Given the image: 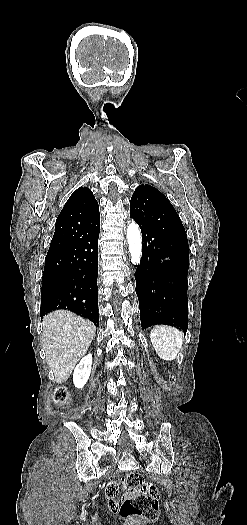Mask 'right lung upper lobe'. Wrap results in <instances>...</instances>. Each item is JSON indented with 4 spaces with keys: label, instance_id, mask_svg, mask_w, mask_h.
Wrapping results in <instances>:
<instances>
[{
    "label": "right lung upper lobe",
    "instance_id": "right-lung-upper-lobe-1",
    "mask_svg": "<svg viewBox=\"0 0 247 525\" xmlns=\"http://www.w3.org/2000/svg\"><path fill=\"white\" fill-rule=\"evenodd\" d=\"M99 228L98 202L90 189L81 187L73 192L56 220L48 254L62 251Z\"/></svg>",
    "mask_w": 247,
    "mask_h": 525
}]
</instances>
